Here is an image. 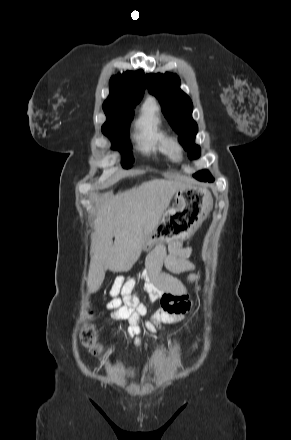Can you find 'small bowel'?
<instances>
[{
  "label": "small bowel",
  "instance_id": "small-bowel-1",
  "mask_svg": "<svg viewBox=\"0 0 291 440\" xmlns=\"http://www.w3.org/2000/svg\"><path fill=\"white\" fill-rule=\"evenodd\" d=\"M191 255L192 250L181 242L169 244L168 252L163 246L150 252L146 258L145 282L141 288V292L147 295L146 302L141 301L140 294L131 293L137 278L125 280L119 277L113 281L110 289L112 300L106 308L113 319H128L127 335L135 347L142 345L139 319L148 312L151 303L158 301L160 308L153 313L152 320L146 323L150 331H155L156 326H166L173 315L190 311L185 285L172 274L161 272V267L165 265L170 272H187L189 283L195 284L200 274L190 260Z\"/></svg>",
  "mask_w": 291,
  "mask_h": 440
}]
</instances>
